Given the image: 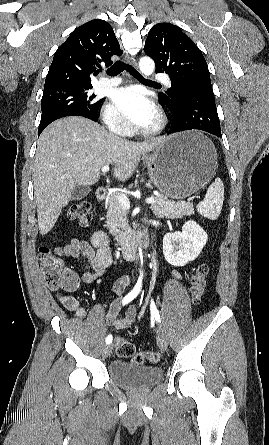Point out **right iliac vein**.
Here are the masks:
<instances>
[{"label":"right iliac vein","mask_w":269,"mask_h":445,"mask_svg":"<svg viewBox=\"0 0 269 445\" xmlns=\"http://www.w3.org/2000/svg\"><path fill=\"white\" fill-rule=\"evenodd\" d=\"M112 348V344H108L107 346H105L102 352L103 357H108L112 352Z\"/></svg>","instance_id":"right-iliac-vein-1"}]
</instances>
